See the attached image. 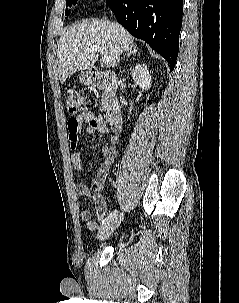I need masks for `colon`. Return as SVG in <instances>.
<instances>
[{"instance_id": "obj_1", "label": "colon", "mask_w": 239, "mask_h": 303, "mask_svg": "<svg viewBox=\"0 0 239 303\" xmlns=\"http://www.w3.org/2000/svg\"><path fill=\"white\" fill-rule=\"evenodd\" d=\"M89 107V101L84 93L78 88H69L66 91V108L68 113L74 115L85 112ZM72 130H76V125H71Z\"/></svg>"}]
</instances>
